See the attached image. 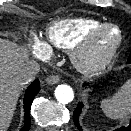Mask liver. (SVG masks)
I'll return each instance as SVG.
<instances>
[{"instance_id": "1", "label": "liver", "mask_w": 131, "mask_h": 131, "mask_svg": "<svg viewBox=\"0 0 131 131\" xmlns=\"http://www.w3.org/2000/svg\"><path fill=\"white\" fill-rule=\"evenodd\" d=\"M28 61L27 51L0 39V131L11 123L22 89L17 75Z\"/></svg>"}]
</instances>
